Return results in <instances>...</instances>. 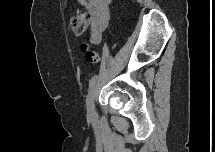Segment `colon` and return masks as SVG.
<instances>
[{
    "mask_svg": "<svg viewBox=\"0 0 215 152\" xmlns=\"http://www.w3.org/2000/svg\"><path fill=\"white\" fill-rule=\"evenodd\" d=\"M89 15L86 12H79L71 19V28L76 35L83 34L89 24ZM85 60L89 64H97L100 60L98 53L92 49L89 44L83 43L81 45Z\"/></svg>",
    "mask_w": 215,
    "mask_h": 152,
    "instance_id": "1",
    "label": "colon"
}]
</instances>
